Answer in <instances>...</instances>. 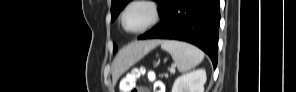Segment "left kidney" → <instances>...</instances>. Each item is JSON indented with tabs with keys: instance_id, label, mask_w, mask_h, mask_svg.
Listing matches in <instances>:
<instances>
[{
	"instance_id": "obj_1",
	"label": "left kidney",
	"mask_w": 296,
	"mask_h": 92,
	"mask_svg": "<svg viewBox=\"0 0 296 92\" xmlns=\"http://www.w3.org/2000/svg\"><path fill=\"white\" fill-rule=\"evenodd\" d=\"M207 76L204 69H197L178 77L172 87V92H204Z\"/></svg>"
}]
</instances>
